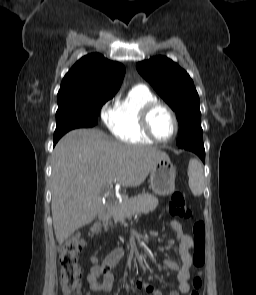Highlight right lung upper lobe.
Wrapping results in <instances>:
<instances>
[{"label":"right lung upper lobe","instance_id":"right-lung-upper-lobe-1","mask_svg":"<svg viewBox=\"0 0 256 295\" xmlns=\"http://www.w3.org/2000/svg\"><path fill=\"white\" fill-rule=\"evenodd\" d=\"M125 67L99 53L82 57L64 76L57 95L58 105L113 97L119 90Z\"/></svg>","mask_w":256,"mask_h":295}]
</instances>
